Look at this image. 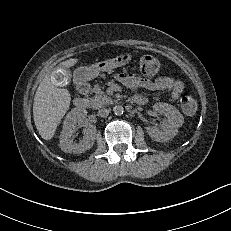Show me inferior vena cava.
Wrapping results in <instances>:
<instances>
[{
  "label": "inferior vena cava",
  "mask_w": 231,
  "mask_h": 231,
  "mask_svg": "<svg viewBox=\"0 0 231 231\" xmlns=\"http://www.w3.org/2000/svg\"><path fill=\"white\" fill-rule=\"evenodd\" d=\"M110 109H107V108H104V109H100L99 111H98V116L99 117H107L108 115H109V113H110Z\"/></svg>",
  "instance_id": "602c4592"
}]
</instances>
